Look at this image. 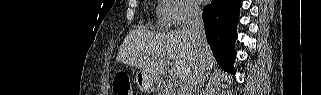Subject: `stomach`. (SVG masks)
<instances>
[{"mask_svg": "<svg viewBox=\"0 0 321 95\" xmlns=\"http://www.w3.org/2000/svg\"><path fill=\"white\" fill-rule=\"evenodd\" d=\"M137 87L144 92L155 90V83L151 77L142 71H138L135 76Z\"/></svg>", "mask_w": 321, "mask_h": 95, "instance_id": "stomach-1", "label": "stomach"}]
</instances>
